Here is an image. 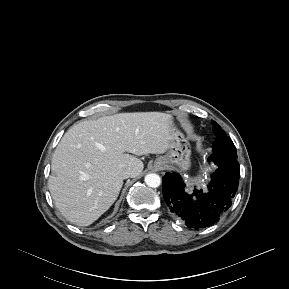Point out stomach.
Masks as SVG:
<instances>
[{
  "instance_id": "0dacf381",
  "label": "stomach",
  "mask_w": 289,
  "mask_h": 289,
  "mask_svg": "<svg viewBox=\"0 0 289 289\" xmlns=\"http://www.w3.org/2000/svg\"><path fill=\"white\" fill-rule=\"evenodd\" d=\"M175 133L176 136L171 140L167 154L155 160L154 166L156 168L159 167V162H163L166 167H176L182 171L190 168V144L184 137L183 133H181L176 126Z\"/></svg>"
}]
</instances>
